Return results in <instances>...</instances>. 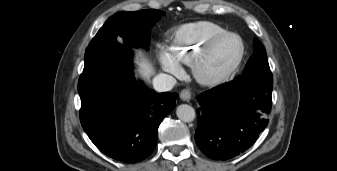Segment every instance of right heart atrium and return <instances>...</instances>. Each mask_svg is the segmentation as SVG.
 <instances>
[{
  "label": "right heart atrium",
  "mask_w": 337,
  "mask_h": 171,
  "mask_svg": "<svg viewBox=\"0 0 337 171\" xmlns=\"http://www.w3.org/2000/svg\"><path fill=\"white\" fill-rule=\"evenodd\" d=\"M162 68L175 77H180L183 73L181 65L167 52L161 51L159 54Z\"/></svg>",
  "instance_id": "1"
}]
</instances>
